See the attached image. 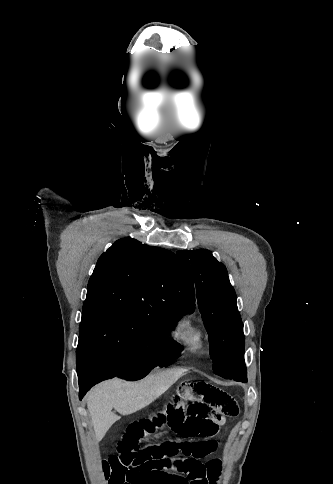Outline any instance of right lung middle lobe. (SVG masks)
I'll use <instances>...</instances> for the list:
<instances>
[{
    "mask_svg": "<svg viewBox=\"0 0 333 484\" xmlns=\"http://www.w3.org/2000/svg\"><path fill=\"white\" fill-rule=\"evenodd\" d=\"M180 316L124 308L83 309L77 372L99 361L117 376L137 380L156 366L170 365L180 346L168 335Z\"/></svg>",
    "mask_w": 333,
    "mask_h": 484,
    "instance_id": "1",
    "label": "right lung middle lobe"
}]
</instances>
